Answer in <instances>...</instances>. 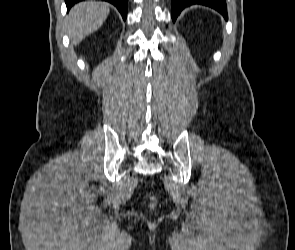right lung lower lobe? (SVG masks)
Here are the masks:
<instances>
[{
	"instance_id": "1",
	"label": "right lung lower lobe",
	"mask_w": 295,
	"mask_h": 250,
	"mask_svg": "<svg viewBox=\"0 0 295 250\" xmlns=\"http://www.w3.org/2000/svg\"><path fill=\"white\" fill-rule=\"evenodd\" d=\"M80 1H83V0H65L67 10L69 11V9L75 3H78ZM104 1H107V2H110V3L114 4L117 7V9L119 10V12L121 13L123 19L124 20L126 19L128 0H104Z\"/></svg>"
}]
</instances>
